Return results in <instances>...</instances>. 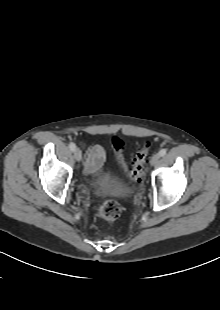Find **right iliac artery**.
Returning a JSON list of instances; mask_svg holds the SVG:
<instances>
[{
	"instance_id": "obj_1",
	"label": "right iliac artery",
	"mask_w": 220,
	"mask_h": 310,
	"mask_svg": "<svg viewBox=\"0 0 220 310\" xmlns=\"http://www.w3.org/2000/svg\"><path fill=\"white\" fill-rule=\"evenodd\" d=\"M69 148L71 151H74L76 149V145L74 143H69Z\"/></svg>"
}]
</instances>
